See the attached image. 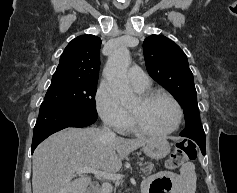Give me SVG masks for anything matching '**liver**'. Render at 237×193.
<instances>
[{
  "label": "liver",
  "mask_w": 237,
  "mask_h": 193,
  "mask_svg": "<svg viewBox=\"0 0 237 193\" xmlns=\"http://www.w3.org/2000/svg\"><path fill=\"white\" fill-rule=\"evenodd\" d=\"M153 138L109 137L95 127L67 128L43 141L33 154V193H86L91 178L76 168L116 173L122 160Z\"/></svg>",
  "instance_id": "1"
}]
</instances>
